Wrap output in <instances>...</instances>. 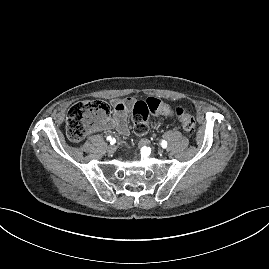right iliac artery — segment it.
<instances>
[{"mask_svg": "<svg viewBox=\"0 0 269 269\" xmlns=\"http://www.w3.org/2000/svg\"><path fill=\"white\" fill-rule=\"evenodd\" d=\"M107 141L110 142V144H114L116 142L115 138H112L111 136L107 137Z\"/></svg>", "mask_w": 269, "mask_h": 269, "instance_id": "obj_1", "label": "right iliac artery"}]
</instances>
